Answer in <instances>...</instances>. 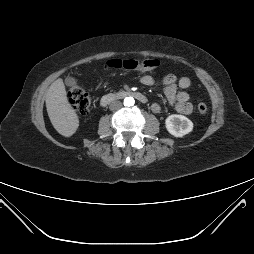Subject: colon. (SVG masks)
Wrapping results in <instances>:
<instances>
[{
  "mask_svg": "<svg viewBox=\"0 0 254 254\" xmlns=\"http://www.w3.org/2000/svg\"><path fill=\"white\" fill-rule=\"evenodd\" d=\"M107 65L111 68H123L137 71H149L159 66L156 59H113ZM69 98L72 107L81 115L89 113L91 108V97L89 93L77 82H74L69 89ZM197 110L200 114H206L207 106L205 103H198Z\"/></svg>",
  "mask_w": 254,
  "mask_h": 254,
  "instance_id": "colon-1",
  "label": "colon"
}]
</instances>
